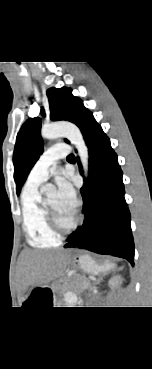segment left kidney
Segmentation results:
<instances>
[{"mask_svg":"<svg viewBox=\"0 0 152 369\" xmlns=\"http://www.w3.org/2000/svg\"><path fill=\"white\" fill-rule=\"evenodd\" d=\"M122 281V278L121 276L117 275V276H113L109 282H108V285L111 287V288H117L119 283H121Z\"/></svg>","mask_w":152,"mask_h":369,"instance_id":"1","label":"left kidney"}]
</instances>
